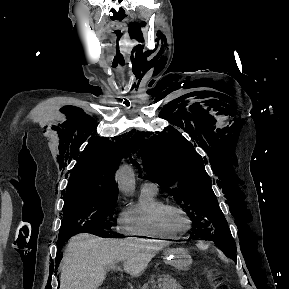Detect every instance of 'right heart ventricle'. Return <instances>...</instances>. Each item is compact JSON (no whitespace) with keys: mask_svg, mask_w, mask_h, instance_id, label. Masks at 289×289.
<instances>
[{"mask_svg":"<svg viewBox=\"0 0 289 289\" xmlns=\"http://www.w3.org/2000/svg\"><path fill=\"white\" fill-rule=\"evenodd\" d=\"M165 202L158 191L142 190L139 200L121 213L120 224L127 235L150 238H172L156 221V213Z\"/></svg>","mask_w":289,"mask_h":289,"instance_id":"right-heart-ventricle-1","label":"right heart ventricle"}]
</instances>
